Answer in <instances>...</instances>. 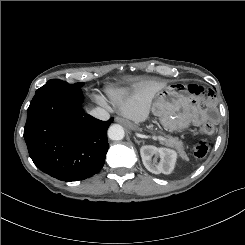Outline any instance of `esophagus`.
Listing matches in <instances>:
<instances>
[{
    "label": "esophagus",
    "mask_w": 245,
    "mask_h": 245,
    "mask_svg": "<svg viewBox=\"0 0 245 245\" xmlns=\"http://www.w3.org/2000/svg\"><path fill=\"white\" fill-rule=\"evenodd\" d=\"M120 120H121L120 118H118V117L116 118V121H117V122L120 121Z\"/></svg>",
    "instance_id": "1"
}]
</instances>
